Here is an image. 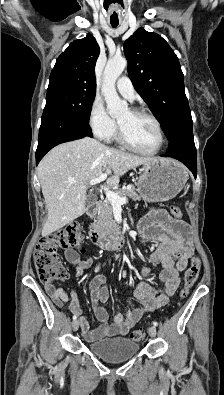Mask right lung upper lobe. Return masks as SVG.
<instances>
[{
    "instance_id": "right-lung-upper-lobe-1",
    "label": "right lung upper lobe",
    "mask_w": 224,
    "mask_h": 395,
    "mask_svg": "<svg viewBox=\"0 0 224 395\" xmlns=\"http://www.w3.org/2000/svg\"><path fill=\"white\" fill-rule=\"evenodd\" d=\"M100 48L91 34L72 42L58 57L50 79H65L96 88L94 68Z\"/></svg>"
}]
</instances>
